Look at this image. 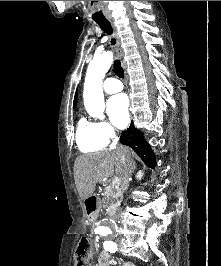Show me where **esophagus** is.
Wrapping results in <instances>:
<instances>
[{"mask_svg": "<svg viewBox=\"0 0 221 266\" xmlns=\"http://www.w3.org/2000/svg\"><path fill=\"white\" fill-rule=\"evenodd\" d=\"M109 22L111 24V27L113 29L114 36H115V39H116V46H117L116 52H117L118 56H120L122 58L123 57V49L121 47V40H120V38L118 36L117 29H116V27L114 25L113 20L110 19Z\"/></svg>", "mask_w": 221, "mask_h": 266, "instance_id": "esophagus-1", "label": "esophagus"}]
</instances>
